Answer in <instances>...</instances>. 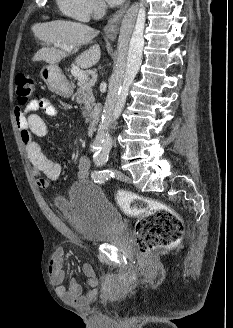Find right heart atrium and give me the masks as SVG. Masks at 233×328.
<instances>
[{"label":"right heart atrium","mask_w":233,"mask_h":328,"mask_svg":"<svg viewBox=\"0 0 233 328\" xmlns=\"http://www.w3.org/2000/svg\"><path fill=\"white\" fill-rule=\"evenodd\" d=\"M61 10L68 16L87 22L101 13L102 0H58Z\"/></svg>","instance_id":"1"}]
</instances>
